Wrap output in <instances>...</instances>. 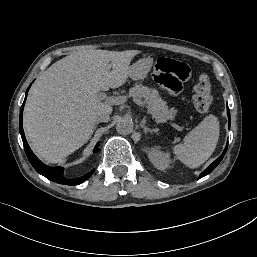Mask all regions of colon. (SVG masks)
Returning <instances> with one entry per match:
<instances>
[{
  "mask_svg": "<svg viewBox=\"0 0 257 257\" xmlns=\"http://www.w3.org/2000/svg\"><path fill=\"white\" fill-rule=\"evenodd\" d=\"M193 104L194 108L199 113H206L212 103V86L209 77L206 74H201L194 88Z\"/></svg>",
  "mask_w": 257,
  "mask_h": 257,
  "instance_id": "5ec220e1",
  "label": "colon"
}]
</instances>
